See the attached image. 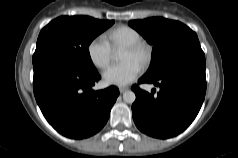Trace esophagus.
I'll use <instances>...</instances> for the list:
<instances>
[{"label": "esophagus", "mask_w": 238, "mask_h": 158, "mask_svg": "<svg viewBox=\"0 0 238 158\" xmlns=\"http://www.w3.org/2000/svg\"><path fill=\"white\" fill-rule=\"evenodd\" d=\"M127 90H128L127 87H120V88H119V92H120V93H123V92H125V91H127Z\"/></svg>", "instance_id": "34e87169"}]
</instances>
